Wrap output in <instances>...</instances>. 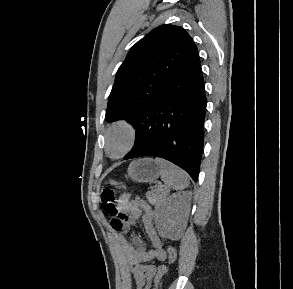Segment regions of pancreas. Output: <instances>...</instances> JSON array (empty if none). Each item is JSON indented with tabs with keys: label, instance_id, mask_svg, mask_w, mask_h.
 <instances>
[{
	"label": "pancreas",
	"instance_id": "1",
	"mask_svg": "<svg viewBox=\"0 0 293 289\" xmlns=\"http://www.w3.org/2000/svg\"><path fill=\"white\" fill-rule=\"evenodd\" d=\"M166 196V192L160 188H155L151 191H148L146 193V198L149 203L151 204H158L162 199H164Z\"/></svg>",
	"mask_w": 293,
	"mask_h": 289
}]
</instances>
